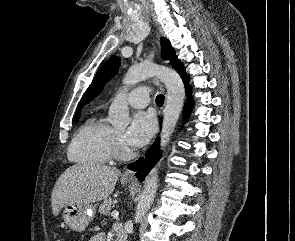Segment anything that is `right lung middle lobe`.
Instances as JSON below:
<instances>
[{"label": "right lung middle lobe", "instance_id": "obj_1", "mask_svg": "<svg viewBox=\"0 0 295 241\" xmlns=\"http://www.w3.org/2000/svg\"><path fill=\"white\" fill-rule=\"evenodd\" d=\"M78 118H79V117H76V118H75V121H77V120H78Z\"/></svg>", "mask_w": 295, "mask_h": 241}]
</instances>
